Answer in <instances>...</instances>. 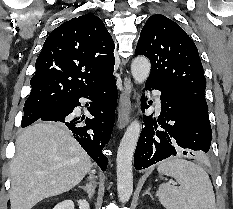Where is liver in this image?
Returning <instances> with one entry per match:
<instances>
[{
    "mask_svg": "<svg viewBox=\"0 0 233 209\" xmlns=\"http://www.w3.org/2000/svg\"><path fill=\"white\" fill-rule=\"evenodd\" d=\"M91 167L89 156L63 125L40 122L28 127L16 139L10 164L11 209H32L71 190Z\"/></svg>",
    "mask_w": 233,
    "mask_h": 209,
    "instance_id": "obj_1",
    "label": "liver"
}]
</instances>
